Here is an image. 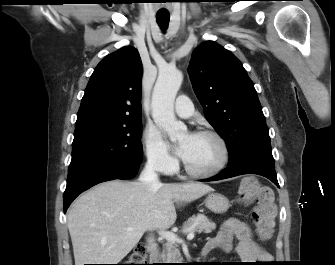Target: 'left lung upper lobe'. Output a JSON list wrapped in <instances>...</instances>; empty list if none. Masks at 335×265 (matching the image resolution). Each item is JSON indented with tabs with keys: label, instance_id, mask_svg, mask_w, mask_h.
Listing matches in <instances>:
<instances>
[{
	"label": "left lung upper lobe",
	"instance_id": "left-lung-upper-lobe-1",
	"mask_svg": "<svg viewBox=\"0 0 335 265\" xmlns=\"http://www.w3.org/2000/svg\"><path fill=\"white\" fill-rule=\"evenodd\" d=\"M188 71L205 117L227 143L228 166L259 163L274 167L262 107L241 62L207 41L193 52Z\"/></svg>",
	"mask_w": 335,
	"mask_h": 265
}]
</instances>
